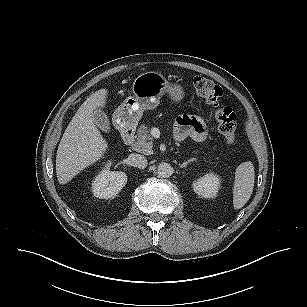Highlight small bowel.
I'll return each instance as SVG.
<instances>
[{
    "instance_id": "small-bowel-1",
    "label": "small bowel",
    "mask_w": 307,
    "mask_h": 307,
    "mask_svg": "<svg viewBox=\"0 0 307 307\" xmlns=\"http://www.w3.org/2000/svg\"><path fill=\"white\" fill-rule=\"evenodd\" d=\"M207 133L205 123L193 116L179 117L174 128V136L177 141H183L189 137L195 141L202 142L206 140Z\"/></svg>"
}]
</instances>
